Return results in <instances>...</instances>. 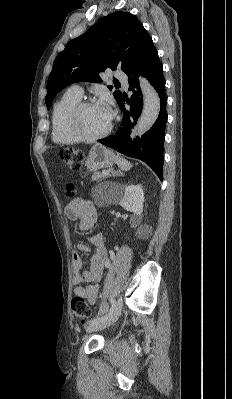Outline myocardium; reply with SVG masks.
Here are the masks:
<instances>
[{
  "instance_id": "1",
  "label": "myocardium",
  "mask_w": 232,
  "mask_h": 399,
  "mask_svg": "<svg viewBox=\"0 0 232 399\" xmlns=\"http://www.w3.org/2000/svg\"><path fill=\"white\" fill-rule=\"evenodd\" d=\"M95 103H96V101L92 100V99L91 100H82V101L78 102L69 113V116L67 119L68 130H69V133L77 141L86 142V143H94L97 141H101V140L107 138L113 130L114 125L112 122H110L108 129L100 135L91 137V136H86L80 132V130L78 128V119H79L81 112L85 108L92 106Z\"/></svg>"
}]
</instances>
